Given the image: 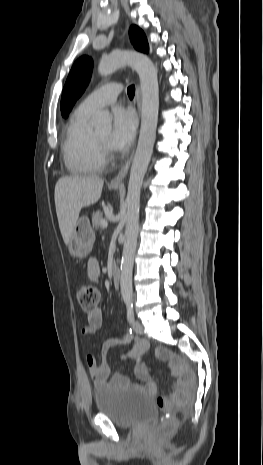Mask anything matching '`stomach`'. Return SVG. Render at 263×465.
<instances>
[{"instance_id":"0dacf381","label":"stomach","mask_w":263,"mask_h":465,"mask_svg":"<svg viewBox=\"0 0 263 465\" xmlns=\"http://www.w3.org/2000/svg\"><path fill=\"white\" fill-rule=\"evenodd\" d=\"M113 189H118V186H114ZM94 242L95 233L89 219L86 216L78 218L68 243L69 253L73 257L84 258L92 250Z\"/></svg>"}]
</instances>
